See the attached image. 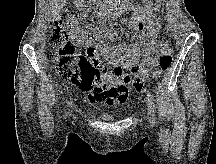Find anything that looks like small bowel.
Returning <instances> with one entry per match:
<instances>
[{
	"mask_svg": "<svg viewBox=\"0 0 216 164\" xmlns=\"http://www.w3.org/2000/svg\"><path fill=\"white\" fill-rule=\"evenodd\" d=\"M161 1L145 0L134 9L129 28L141 39L131 45L117 43L109 46L107 42L116 38L114 33L91 26L84 30L78 28L74 36L75 41L87 50V54L93 60L101 62L100 57H104L112 66L102 75L100 87L89 92L90 103L111 106L126 102L132 76L125 70L134 74L138 68L153 64L156 60L155 55L166 49V44L157 40L160 26L157 12ZM69 17L78 20L75 14Z\"/></svg>",
	"mask_w": 216,
	"mask_h": 164,
	"instance_id": "small-bowel-1",
	"label": "small bowel"
}]
</instances>
